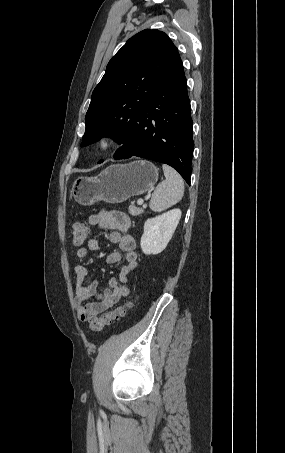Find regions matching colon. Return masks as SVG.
<instances>
[{
    "mask_svg": "<svg viewBox=\"0 0 285 453\" xmlns=\"http://www.w3.org/2000/svg\"><path fill=\"white\" fill-rule=\"evenodd\" d=\"M89 233L87 225L82 221H77L72 226L73 246L80 249L84 244ZM132 307V301H125L116 308L101 314L98 317H92L88 320L90 332H100L105 326L113 321L124 317L127 311Z\"/></svg>",
    "mask_w": 285,
    "mask_h": 453,
    "instance_id": "obj_1",
    "label": "colon"
}]
</instances>
